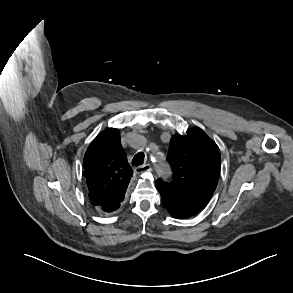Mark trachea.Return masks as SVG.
<instances>
[{
    "label": "trachea",
    "mask_w": 293,
    "mask_h": 293,
    "mask_svg": "<svg viewBox=\"0 0 293 293\" xmlns=\"http://www.w3.org/2000/svg\"><path fill=\"white\" fill-rule=\"evenodd\" d=\"M143 162H144V153L140 152L134 156L132 160V165L139 166V165H142Z\"/></svg>",
    "instance_id": "3493384b"
}]
</instances>
